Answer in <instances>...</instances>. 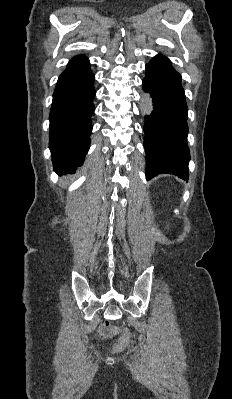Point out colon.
Segmentation results:
<instances>
[{
	"mask_svg": "<svg viewBox=\"0 0 232 399\" xmlns=\"http://www.w3.org/2000/svg\"><path fill=\"white\" fill-rule=\"evenodd\" d=\"M118 326H106L105 330H98V337H114L115 333H118Z\"/></svg>",
	"mask_w": 232,
	"mask_h": 399,
	"instance_id": "1",
	"label": "colon"
}]
</instances>
